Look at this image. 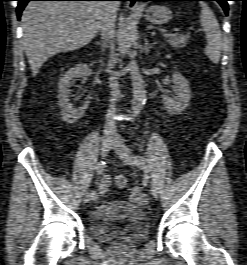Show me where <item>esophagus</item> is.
I'll use <instances>...</instances> for the list:
<instances>
[{"label":"esophagus","mask_w":247,"mask_h":265,"mask_svg":"<svg viewBox=\"0 0 247 265\" xmlns=\"http://www.w3.org/2000/svg\"><path fill=\"white\" fill-rule=\"evenodd\" d=\"M127 8L132 11H138L140 9L139 4L136 0H129L127 3Z\"/></svg>","instance_id":"obj_1"}]
</instances>
